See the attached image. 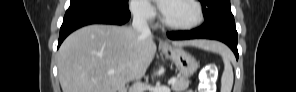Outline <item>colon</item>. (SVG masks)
<instances>
[{
  "mask_svg": "<svg viewBox=\"0 0 296 92\" xmlns=\"http://www.w3.org/2000/svg\"><path fill=\"white\" fill-rule=\"evenodd\" d=\"M216 78V66L208 65L206 66L201 75H200V83H201V92H210V86L214 83Z\"/></svg>",
  "mask_w": 296,
  "mask_h": 92,
  "instance_id": "colon-1",
  "label": "colon"
}]
</instances>
